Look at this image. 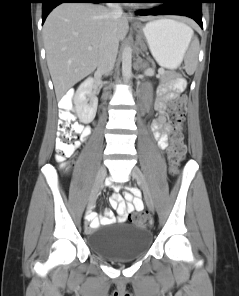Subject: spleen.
I'll return each instance as SVG.
<instances>
[{
    "mask_svg": "<svg viewBox=\"0 0 239 296\" xmlns=\"http://www.w3.org/2000/svg\"><path fill=\"white\" fill-rule=\"evenodd\" d=\"M189 32V43L193 36V31L190 27L187 26ZM189 45V44H188ZM197 56H198V40L195 39L191 45V49L185 60V70L188 74H193L197 65Z\"/></svg>",
    "mask_w": 239,
    "mask_h": 296,
    "instance_id": "obj_1",
    "label": "spleen"
}]
</instances>
